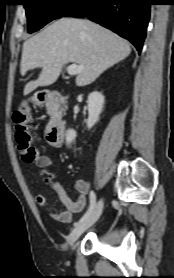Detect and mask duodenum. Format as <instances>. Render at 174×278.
Wrapping results in <instances>:
<instances>
[{"label": "duodenum", "mask_w": 174, "mask_h": 278, "mask_svg": "<svg viewBox=\"0 0 174 278\" xmlns=\"http://www.w3.org/2000/svg\"><path fill=\"white\" fill-rule=\"evenodd\" d=\"M61 97L58 91L43 90L38 92L37 101L39 103H56ZM65 124L63 119L54 115L46 128V138L48 142L54 146H60L64 139Z\"/></svg>", "instance_id": "410a0bca"}]
</instances>
